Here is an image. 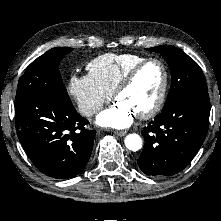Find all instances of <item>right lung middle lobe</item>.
I'll return each mask as SVG.
<instances>
[{
  "instance_id": "obj_1",
  "label": "right lung middle lobe",
  "mask_w": 221,
  "mask_h": 221,
  "mask_svg": "<svg viewBox=\"0 0 221 221\" xmlns=\"http://www.w3.org/2000/svg\"><path fill=\"white\" fill-rule=\"evenodd\" d=\"M72 48H53L38 57L19 79L15 104L37 95H48L71 102L62 83L59 63Z\"/></svg>"
}]
</instances>
